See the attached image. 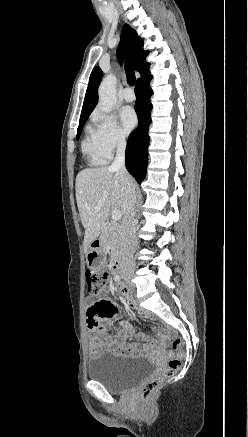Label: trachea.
<instances>
[{"label":"trachea","instance_id":"obj_1","mask_svg":"<svg viewBox=\"0 0 248 437\" xmlns=\"http://www.w3.org/2000/svg\"><path fill=\"white\" fill-rule=\"evenodd\" d=\"M125 72H126L127 81L129 83V85L134 86L135 85V81H136L134 70L129 65H126L125 66Z\"/></svg>","mask_w":248,"mask_h":437}]
</instances>
